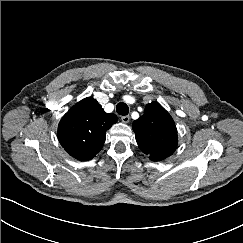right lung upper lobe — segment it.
Instances as JSON below:
<instances>
[{
    "label": "right lung upper lobe",
    "mask_w": 243,
    "mask_h": 243,
    "mask_svg": "<svg viewBox=\"0 0 243 243\" xmlns=\"http://www.w3.org/2000/svg\"><path fill=\"white\" fill-rule=\"evenodd\" d=\"M117 121V116L106 113L92 97L76 103L61 119L58 140L72 157L87 161L102 148L106 131Z\"/></svg>",
    "instance_id": "1"
}]
</instances>
